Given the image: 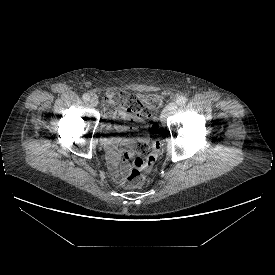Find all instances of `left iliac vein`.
I'll list each match as a JSON object with an SVG mask.
<instances>
[{
  "instance_id": "4c4485c4",
  "label": "left iliac vein",
  "mask_w": 275,
  "mask_h": 275,
  "mask_svg": "<svg viewBox=\"0 0 275 275\" xmlns=\"http://www.w3.org/2000/svg\"><path fill=\"white\" fill-rule=\"evenodd\" d=\"M176 109H177V105H176L175 102L169 103V104L164 108V110H163L162 113H161V117H160L162 124H166L167 118H168L170 115H172L173 113H175Z\"/></svg>"
}]
</instances>
